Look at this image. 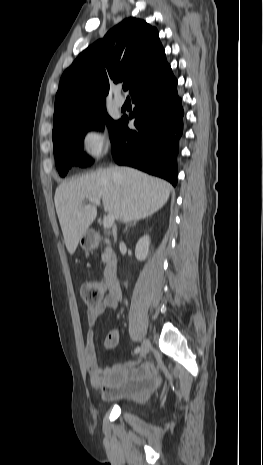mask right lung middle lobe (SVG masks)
Returning <instances> with one entry per match:
<instances>
[{"label":"right lung middle lobe","mask_w":263,"mask_h":465,"mask_svg":"<svg viewBox=\"0 0 263 465\" xmlns=\"http://www.w3.org/2000/svg\"><path fill=\"white\" fill-rule=\"evenodd\" d=\"M109 128L110 136L118 121L106 113L105 104L73 111L54 123L52 139L55 163L60 176H65L72 164L84 167L90 162L83 153V139L92 129Z\"/></svg>","instance_id":"dd1d6c3e"}]
</instances>
